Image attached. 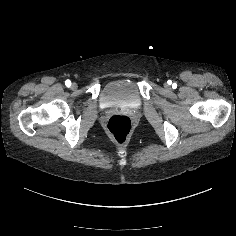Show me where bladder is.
Here are the masks:
<instances>
[{
    "mask_svg": "<svg viewBox=\"0 0 236 236\" xmlns=\"http://www.w3.org/2000/svg\"><path fill=\"white\" fill-rule=\"evenodd\" d=\"M103 100L108 106H120L135 109L141 104V93L128 83L114 82L102 90Z\"/></svg>",
    "mask_w": 236,
    "mask_h": 236,
    "instance_id": "1",
    "label": "bladder"
}]
</instances>
